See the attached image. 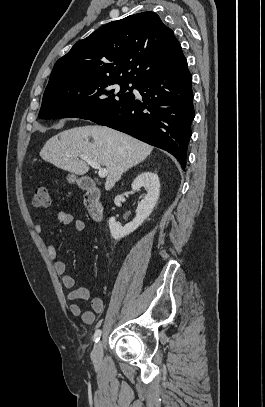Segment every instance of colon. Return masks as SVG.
I'll return each mask as SVG.
<instances>
[{
	"label": "colon",
	"instance_id": "5ec220e1",
	"mask_svg": "<svg viewBox=\"0 0 265 407\" xmlns=\"http://www.w3.org/2000/svg\"><path fill=\"white\" fill-rule=\"evenodd\" d=\"M51 202L48 189L45 185H37L33 194V204L36 207L49 206Z\"/></svg>",
	"mask_w": 265,
	"mask_h": 407
}]
</instances>
